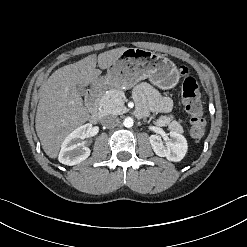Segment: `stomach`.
Masks as SVG:
<instances>
[{
    "label": "stomach",
    "instance_id": "1",
    "mask_svg": "<svg viewBox=\"0 0 247 247\" xmlns=\"http://www.w3.org/2000/svg\"><path fill=\"white\" fill-rule=\"evenodd\" d=\"M148 78L161 89H171L179 81L175 64L163 55L141 48H128L96 81L110 88L127 90Z\"/></svg>",
    "mask_w": 247,
    "mask_h": 247
}]
</instances>
